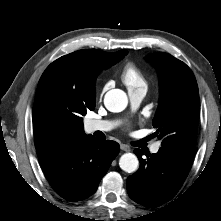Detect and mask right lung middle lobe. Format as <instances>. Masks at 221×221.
Instances as JSON below:
<instances>
[{"label": "right lung middle lobe", "mask_w": 221, "mask_h": 221, "mask_svg": "<svg viewBox=\"0 0 221 221\" xmlns=\"http://www.w3.org/2000/svg\"><path fill=\"white\" fill-rule=\"evenodd\" d=\"M76 79L61 67L50 65L40 78L33 112L45 115L55 123L77 122L83 124L82 116L88 110H94L95 106H86L72 99L68 93V87ZM93 77L85 75L83 82L90 84Z\"/></svg>", "instance_id": "obj_1"}]
</instances>
